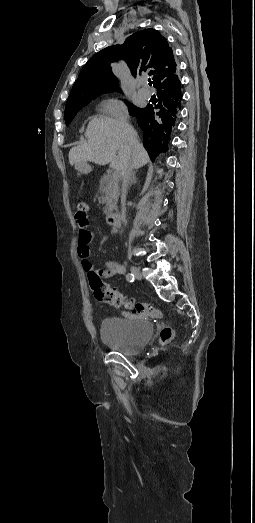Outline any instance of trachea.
<instances>
[{"label":"trachea","instance_id":"1","mask_svg":"<svg viewBox=\"0 0 255 523\" xmlns=\"http://www.w3.org/2000/svg\"><path fill=\"white\" fill-rule=\"evenodd\" d=\"M149 85H150V86L152 85V81H151V80H149Z\"/></svg>","mask_w":255,"mask_h":523}]
</instances>
